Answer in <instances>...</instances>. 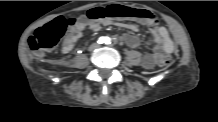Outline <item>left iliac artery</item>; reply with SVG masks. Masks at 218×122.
<instances>
[{"instance_id": "1", "label": "left iliac artery", "mask_w": 218, "mask_h": 122, "mask_svg": "<svg viewBox=\"0 0 218 122\" xmlns=\"http://www.w3.org/2000/svg\"><path fill=\"white\" fill-rule=\"evenodd\" d=\"M110 41H111V39H110V38H107V39H106V44H110V43H111Z\"/></svg>"}]
</instances>
